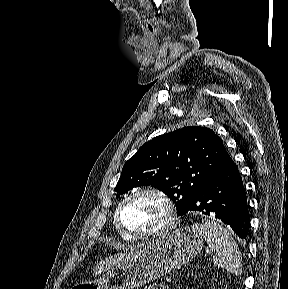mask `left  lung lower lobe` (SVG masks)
Instances as JSON below:
<instances>
[{"label":"left lung lower lobe","instance_id":"0a47b994","mask_svg":"<svg viewBox=\"0 0 288 289\" xmlns=\"http://www.w3.org/2000/svg\"><path fill=\"white\" fill-rule=\"evenodd\" d=\"M188 211L215 216L230 225L238 237L246 239L249 230L247 197L238 168L230 156L198 192L183 214Z\"/></svg>","mask_w":288,"mask_h":289}]
</instances>
